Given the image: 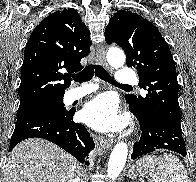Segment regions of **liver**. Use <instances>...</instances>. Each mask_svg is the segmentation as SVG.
I'll return each instance as SVG.
<instances>
[{"label": "liver", "mask_w": 196, "mask_h": 182, "mask_svg": "<svg viewBox=\"0 0 196 182\" xmlns=\"http://www.w3.org/2000/svg\"><path fill=\"white\" fill-rule=\"evenodd\" d=\"M77 160L57 145L39 138L26 139L8 156L5 182H73Z\"/></svg>", "instance_id": "obj_1"}]
</instances>
